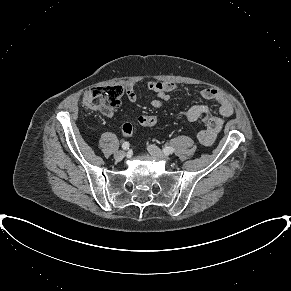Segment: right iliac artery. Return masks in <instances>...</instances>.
<instances>
[{
    "instance_id": "82829eb1",
    "label": "right iliac artery",
    "mask_w": 291,
    "mask_h": 291,
    "mask_svg": "<svg viewBox=\"0 0 291 291\" xmlns=\"http://www.w3.org/2000/svg\"><path fill=\"white\" fill-rule=\"evenodd\" d=\"M129 146H130L129 142H124V143L122 144V148H123V150H127V149H129Z\"/></svg>"
}]
</instances>
